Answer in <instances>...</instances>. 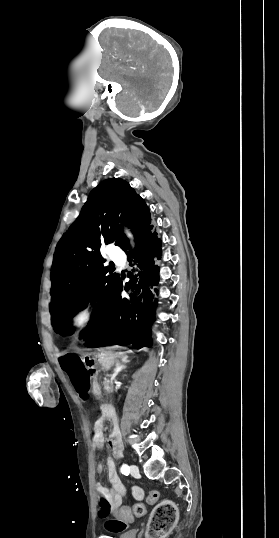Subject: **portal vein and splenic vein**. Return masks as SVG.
Instances as JSON below:
<instances>
[{
    "label": "portal vein and splenic vein",
    "instance_id": "obj_1",
    "mask_svg": "<svg viewBox=\"0 0 279 538\" xmlns=\"http://www.w3.org/2000/svg\"><path fill=\"white\" fill-rule=\"evenodd\" d=\"M106 383H111V380H106Z\"/></svg>",
    "mask_w": 279,
    "mask_h": 538
}]
</instances>
